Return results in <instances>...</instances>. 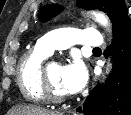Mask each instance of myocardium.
Wrapping results in <instances>:
<instances>
[{"instance_id": "obj_1", "label": "myocardium", "mask_w": 131, "mask_h": 115, "mask_svg": "<svg viewBox=\"0 0 131 115\" xmlns=\"http://www.w3.org/2000/svg\"><path fill=\"white\" fill-rule=\"evenodd\" d=\"M46 68H47L46 65H42L40 69V80H39L40 90H41L44 100L52 102V103H61V102L66 101L67 97L58 96L51 92L48 85V81H47Z\"/></svg>"}]
</instances>
